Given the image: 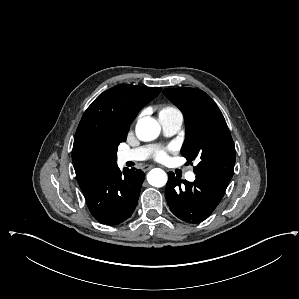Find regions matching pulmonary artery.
Masks as SVG:
<instances>
[{
	"label": "pulmonary artery",
	"instance_id": "e3ab8cb5",
	"mask_svg": "<svg viewBox=\"0 0 299 299\" xmlns=\"http://www.w3.org/2000/svg\"><path fill=\"white\" fill-rule=\"evenodd\" d=\"M159 121L161 123L163 132L166 136L174 135L179 131L182 125V115L179 112L162 113L159 114ZM151 152L149 147H138L135 149L124 150L119 153L118 160L120 163L128 161H142L145 160ZM186 180L193 182L196 179L195 173L190 170L185 174Z\"/></svg>",
	"mask_w": 299,
	"mask_h": 299
}]
</instances>
